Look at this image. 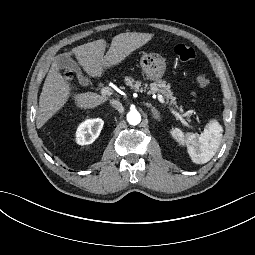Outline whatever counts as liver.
<instances>
[{"mask_svg":"<svg viewBox=\"0 0 255 255\" xmlns=\"http://www.w3.org/2000/svg\"><path fill=\"white\" fill-rule=\"evenodd\" d=\"M154 34L125 32L113 37L111 47L106 51V39H99L71 49L84 72L94 79H100L105 73L122 64L134 51L147 44ZM79 90L76 84L65 78L57 62L52 64L39 98V110L36 115V128L41 129L48 120L57 114L71 99L77 109H94L109 100L93 92L72 93Z\"/></svg>","mask_w":255,"mask_h":255,"instance_id":"liver-1","label":"liver"}]
</instances>
